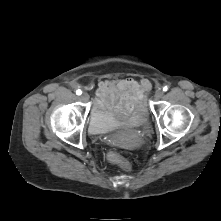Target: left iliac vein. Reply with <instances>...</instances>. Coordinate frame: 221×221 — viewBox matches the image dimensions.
I'll use <instances>...</instances> for the list:
<instances>
[{"label":"left iliac vein","mask_w":221,"mask_h":221,"mask_svg":"<svg viewBox=\"0 0 221 221\" xmlns=\"http://www.w3.org/2000/svg\"><path fill=\"white\" fill-rule=\"evenodd\" d=\"M163 95H164V92L159 89V90H157V91L155 92L154 97H155L156 100H159V99L162 98Z\"/></svg>","instance_id":"4c4485c4"}]
</instances>
